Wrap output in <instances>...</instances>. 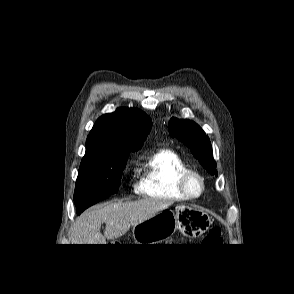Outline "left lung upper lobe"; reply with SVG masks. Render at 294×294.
Wrapping results in <instances>:
<instances>
[{"label": "left lung upper lobe", "mask_w": 294, "mask_h": 294, "mask_svg": "<svg viewBox=\"0 0 294 294\" xmlns=\"http://www.w3.org/2000/svg\"><path fill=\"white\" fill-rule=\"evenodd\" d=\"M169 133L188 146L194 157L209 173L217 175L210 140L196 123L190 120L171 118Z\"/></svg>", "instance_id": "5c2ea615"}]
</instances>
